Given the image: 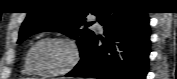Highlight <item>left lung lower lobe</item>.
<instances>
[{
    "label": "left lung lower lobe",
    "mask_w": 177,
    "mask_h": 79,
    "mask_svg": "<svg viewBox=\"0 0 177 79\" xmlns=\"http://www.w3.org/2000/svg\"><path fill=\"white\" fill-rule=\"evenodd\" d=\"M98 20L105 37L94 35L80 62L66 76L145 79L150 53L147 13L118 5L104 8Z\"/></svg>",
    "instance_id": "0a47b994"
}]
</instances>
